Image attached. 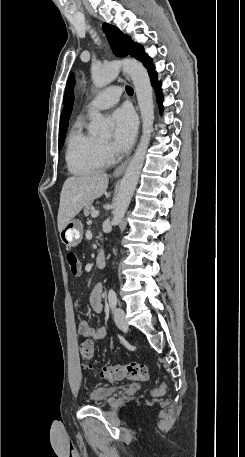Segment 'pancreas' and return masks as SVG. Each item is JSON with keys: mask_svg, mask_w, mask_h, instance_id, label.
Instances as JSON below:
<instances>
[{"mask_svg": "<svg viewBox=\"0 0 245 457\" xmlns=\"http://www.w3.org/2000/svg\"><path fill=\"white\" fill-rule=\"evenodd\" d=\"M93 210H95L92 202H87V204H85V208H84V216H89V214H92Z\"/></svg>", "mask_w": 245, "mask_h": 457, "instance_id": "1", "label": "pancreas"}]
</instances>
